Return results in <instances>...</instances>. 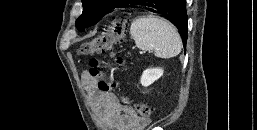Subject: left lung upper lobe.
Returning <instances> with one entry per match:
<instances>
[{"mask_svg":"<svg viewBox=\"0 0 257 130\" xmlns=\"http://www.w3.org/2000/svg\"><path fill=\"white\" fill-rule=\"evenodd\" d=\"M131 1L133 0H82L83 12L76 20V27L78 30L84 31L85 27L94 25L112 9Z\"/></svg>","mask_w":257,"mask_h":130,"instance_id":"left-lung-upper-lobe-1","label":"left lung upper lobe"}]
</instances>
